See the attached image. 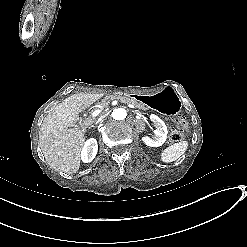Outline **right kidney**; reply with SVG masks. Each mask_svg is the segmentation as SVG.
<instances>
[{"instance_id":"right-kidney-1","label":"right kidney","mask_w":247,"mask_h":247,"mask_svg":"<svg viewBox=\"0 0 247 247\" xmlns=\"http://www.w3.org/2000/svg\"><path fill=\"white\" fill-rule=\"evenodd\" d=\"M97 151H98L97 141L93 138L89 139L83 148L81 155L82 160L84 162H91L95 158Z\"/></svg>"}]
</instances>
